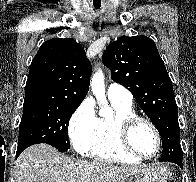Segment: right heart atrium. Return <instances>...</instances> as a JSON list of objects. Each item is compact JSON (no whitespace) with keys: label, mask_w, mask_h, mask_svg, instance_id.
<instances>
[{"label":"right heart atrium","mask_w":196,"mask_h":182,"mask_svg":"<svg viewBox=\"0 0 196 182\" xmlns=\"http://www.w3.org/2000/svg\"><path fill=\"white\" fill-rule=\"evenodd\" d=\"M98 117L89 101H84L76 109L69 121V135L75 150L87 154L97 134Z\"/></svg>","instance_id":"right-heart-atrium-1"}]
</instances>
